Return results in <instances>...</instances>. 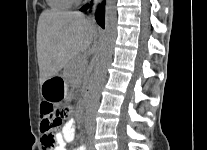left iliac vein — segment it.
I'll return each instance as SVG.
<instances>
[{"label": "left iliac vein", "mask_w": 207, "mask_h": 150, "mask_svg": "<svg viewBox=\"0 0 207 150\" xmlns=\"http://www.w3.org/2000/svg\"><path fill=\"white\" fill-rule=\"evenodd\" d=\"M88 150H95V147H94V144H93V142H92V141H90V144H89Z\"/></svg>", "instance_id": "obj_1"}]
</instances>
